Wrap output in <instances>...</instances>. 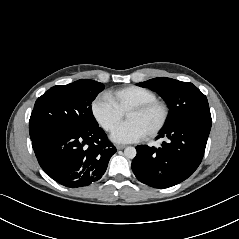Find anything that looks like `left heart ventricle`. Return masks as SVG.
<instances>
[{
    "mask_svg": "<svg viewBox=\"0 0 239 239\" xmlns=\"http://www.w3.org/2000/svg\"><path fill=\"white\" fill-rule=\"evenodd\" d=\"M159 110H151L145 113H130L127 115V121L139 125L148 134L159 122Z\"/></svg>",
    "mask_w": 239,
    "mask_h": 239,
    "instance_id": "obj_1",
    "label": "left heart ventricle"
}]
</instances>
